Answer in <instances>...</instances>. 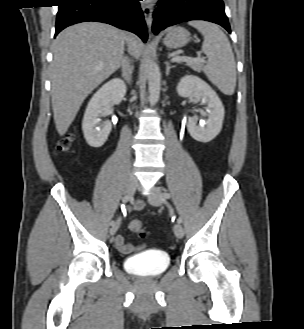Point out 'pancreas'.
<instances>
[{
  "instance_id": "1",
  "label": "pancreas",
  "mask_w": 304,
  "mask_h": 329,
  "mask_svg": "<svg viewBox=\"0 0 304 329\" xmlns=\"http://www.w3.org/2000/svg\"><path fill=\"white\" fill-rule=\"evenodd\" d=\"M186 65L189 66L194 71H197V72H200L201 69H202V64L201 63L186 62Z\"/></svg>"
}]
</instances>
